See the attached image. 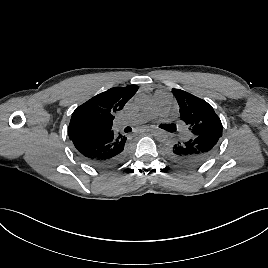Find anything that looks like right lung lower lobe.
<instances>
[{
	"label": "right lung lower lobe",
	"instance_id": "1",
	"mask_svg": "<svg viewBox=\"0 0 268 268\" xmlns=\"http://www.w3.org/2000/svg\"><path fill=\"white\" fill-rule=\"evenodd\" d=\"M71 140L82 160L97 168H110L122 159L127 138L111 131L108 134Z\"/></svg>",
	"mask_w": 268,
	"mask_h": 268
}]
</instances>
